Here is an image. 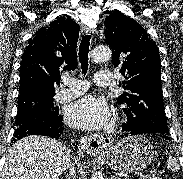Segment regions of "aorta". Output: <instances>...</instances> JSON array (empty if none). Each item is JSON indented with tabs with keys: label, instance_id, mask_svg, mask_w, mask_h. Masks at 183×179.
<instances>
[{
	"label": "aorta",
	"instance_id": "aorta-1",
	"mask_svg": "<svg viewBox=\"0 0 183 179\" xmlns=\"http://www.w3.org/2000/svg\"><path fill=\"white\" fill-rule=\"evenodd\" d=\"M112 57V51L107 46H99L92 51V60L95 62L109 61ZM91 179H104L101 172L93 173Z\"/></svg>",
	"mask_w": 183,
	"mask_h": 179
}]
</instances>
